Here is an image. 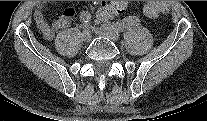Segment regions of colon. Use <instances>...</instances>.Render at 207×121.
Wrapping results in <instances>:
<instances>
[{
  "label": "colon",
  "mask_w": 207,
  "mask_h": 121,
  "mask_svg": "<svg viewBox=\"0 0 207 121\" xmlns=\"http://www.w3.org/2000/svg\"><path fill=\"white\" fill-rule=\"evenodd\" d=\"M114 6L100 5L97 11V19L99 21H105L112 17L114 14ZM144 13L146 16L154 18L161 14H165L168 11V6L164 2L149 1L144 5Z\"/></svg>",
  "instance_id": "obj_1"
}]
</instances>
